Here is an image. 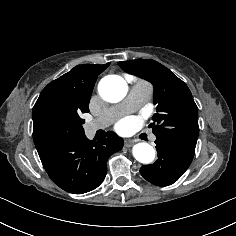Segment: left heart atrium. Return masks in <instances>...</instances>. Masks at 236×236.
Instances as JSON below:
<instances>
[{
  "label": "left heart atrium",
  "mask_w": 236,
  "mask_h": 236,
  "mask_svg": "<svg viewBox=\"0 0 236 236\" xmlns=\"http://www.w3.org/2000/svg\"><path fill=\"white\" fill-rule=\"evenodd\" d=\"M116 128L121 132H129L131 130L130 119L125 118L120 120L117 123Z\"/></svg>",
  "instance_id": "obj_1"
}]
</instances>
